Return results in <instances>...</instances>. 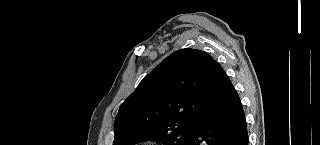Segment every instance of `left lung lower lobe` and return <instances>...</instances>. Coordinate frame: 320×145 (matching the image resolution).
<instances>
[{
	"label": "left lung lower lobe",
	"mask_w": 320,
	"mask_h": 145,
	"mask_svg": "<svg viewBox=\"0 0 320 145\" xmlns=\"http://www.w3.org/2000/svg\"><path fill=\"white\" fill-rule=\"evenodd\" d=\"M206 106L186 145H248L240 98L218 64L206 85Z\"/></svg>",
	"instance_id": "0a47b994"
}]
</instances>
